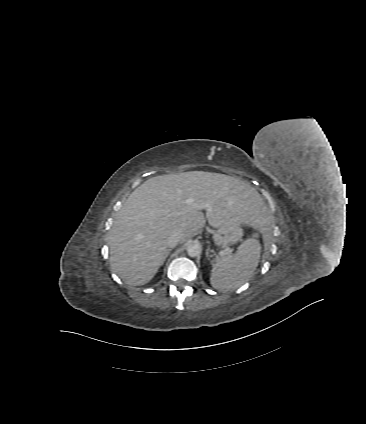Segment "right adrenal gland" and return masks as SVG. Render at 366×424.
<instances>
[{
  "instance_id": "1",
  "label": "right adrenal gland",
  "mask_w": 366,
  "mask_h": 424,
  "mask_svg": "<svg viewBox=\"0 0 366 424\" xmlns=\"http://www.w3.org/2000/svg\"><path fill=\"white\" fill-rule=\"evenodd\" d=\"M171 250H172V249H169V250H168V255H169V253L171 252ZM166 257H167V256H166Z\"/></svg>"
}]
</instances>
